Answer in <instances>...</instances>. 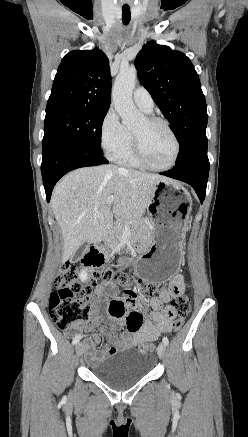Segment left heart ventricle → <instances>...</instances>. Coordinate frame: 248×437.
<instances>
[{
	"mask_svg": "<svg viewBox=\"0 0 248 437\" xmlns=\"http://www.w3.org/2000/svg\"><path fill=\"white\" fill-rule=\"evenodd\" d=\"M132 132L140 139L142 150L149 163L154 166H165L171 162L175 144L164 126L149 125L143 119Z\"/></svg>",
	"mask_w": 248,
	"mask_h": 437,
	"instance_id": "1",
	"label": "left heart ventricle"
}]
</instances>
